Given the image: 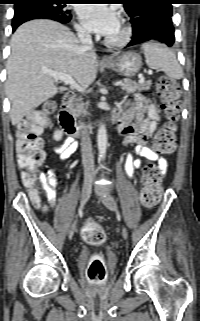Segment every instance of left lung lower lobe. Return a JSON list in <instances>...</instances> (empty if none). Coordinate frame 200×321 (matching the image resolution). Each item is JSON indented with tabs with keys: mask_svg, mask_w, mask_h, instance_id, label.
Instances as JSON below:
<instances>
[{
	"mask_svg": "<svg viewBox=\"0 0 200 321\" xmlns=\"http://www.w3.org/2000/svg\"><path fill=\"white\" fill-rule=\"evenodd\" d=\"M133 36L128 46L146 41H157L172 46L175 41L172 16L163 12H150L131 18Z\"/></svg>",
	"mask_w": 200,
	"mask_h": 321,
	"instance_id": "1",
	"label": "left lung lower lobe"
}]
</instances>
